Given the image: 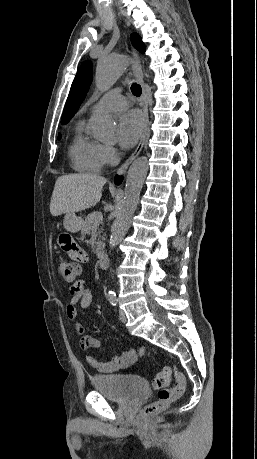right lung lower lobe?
Returning a JSON list of instances; mask_svg holds the SVG:
<instances>
[{"label":"right lung lower lobe","instance_id":"obj_1","mask_svg":"<svg viewBox=\"0 0 257 459\" xmlns=\"http://www.w3.org/2000/svg\"><path fill=\"white\" fill-rule=\"evenodd\" d=\"M122 181V177L116 176L115 177V183L119 184Z\"/></svg>","mask_w":257,"mask_h":459}]
</instances>
